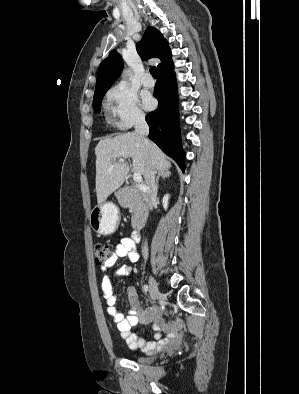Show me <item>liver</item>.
Listing matches in <instances>:
<instances>
[{
  "instance_id": "1",
  "label": "liver",
  "mask_w": 299,
  "mask_h": 394,
  "mask_svg": "<svg viewBox=\"0 0 299 394\" xmlns=\"http://www.w3.org/2000/svg\"><path fill=\"white\" fill-rule=\"evenodd\" d=\"M96 155V196L98 204L103 203L125 181L130 168L117 159L132 160V172L140 173L146 181L148 160L151 158L155 171L169 169L166 155L153 142L146 148L143 139L136 133L127 132L99 141Z\"/></svg>"
}]
</instances>
